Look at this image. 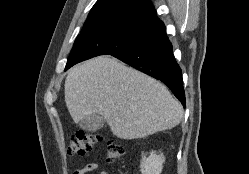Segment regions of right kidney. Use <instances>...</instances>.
<instances>
[{"label": "right kidney", "mask_w": 249, "mask_h": 174, "mask_svg": "<svg viewBox=\"0 0 249 174\" xmlns=\"http://www.w3.org/2000/svg\"><path fill=\"white\" fill-rule=\"evenodd\" d=\"M164 161L165 157L162 153L157 155L155 151H152L148 157L142 158L140 164L141 173L160 174L163 169Z\"/></svg>", "instance_id": "obj_1"}]
</instances>
